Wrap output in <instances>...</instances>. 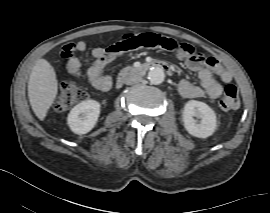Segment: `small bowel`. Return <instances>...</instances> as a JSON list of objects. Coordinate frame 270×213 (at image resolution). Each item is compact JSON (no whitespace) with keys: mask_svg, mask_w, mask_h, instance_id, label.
<instances>
[{"mask_svg":"<svg viewBox=\"0 0 270 213\" xmlns=\"http://www.w3.org/2000/svg\"><path fill=\"white\" fill-rule=\"evenodd\" d=\"M87 44L84 41L65 44L61 49V56L67 59V71L69 74L88 81L95 89L105 92L108 91L113 79L110 74L105 72L106 64L112 62L120 52H107L104 47L97 46L91 50L87 58L90 64L86 73L82 72L83 60L75 56L76 52H84ZM191 51L196 52L191 46ZM186 59V66L190 71L197 74L200 85L191 82L188 79H182L179 82V93L185 98H200L206 96L210 99H216L222 94L223 85L233 80L229 70L223 67L216 59H211L208 64L196 63L191 59L187 52L181 53ZM167 68L173 72V67L167 65ZM168 71V70H167ZM218 76L219 80L214 78Z\"/></svg>","mask_w":270,"mask_h":213,"instance_id":"c3829d8e","label":"small bowel"}]
</instances>
